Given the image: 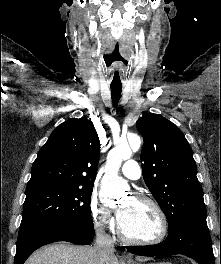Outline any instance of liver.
I'll list each match as a JSON object with an SVG mask.
<instances>
[{"label":"liver","mask_w":221,"mask_h":264,"mask_svg":"<svg viewBox=\"0 0 221 264\" xmlns=\"http://www.w3.org/2000/svg\"><path fill=\"white\" fill-rule=\"evenodd\" d=\"M138 261H147L145 257H137ZM25 264H119L115 256L102 260L95 247L71 246L55 244L45 246L33 253Z\"/></svg>","instance_id":"1"}]
</instances>
